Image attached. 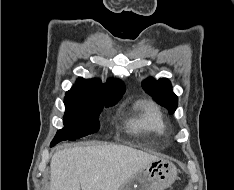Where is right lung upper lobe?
<instances>
[{
    "label": "right lung upper lobe",
    "instance_id": "1",
    "mask_svg": "<svg viewBox=\"0 0 234 190\" xmlns=\"http://www.w3.org/2000/svg\"><path fill=\"white\" fill-rule=\"evenodd\" d=\"M125 86L119 79L106 84L98 79L78 78L76 84L66 92L65 99L92 103H116L124 93Z\"/></svg>",
    "mask_w": 234,
    "mask_h": 190
}]
</instances>
